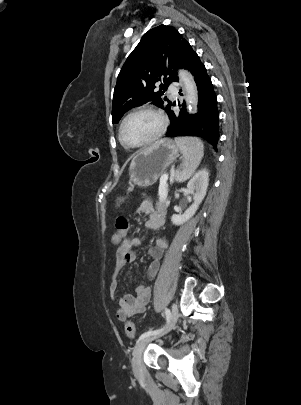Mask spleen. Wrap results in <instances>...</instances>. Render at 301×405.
<instances>
[{
    "mask_svg": "<svg viewBox=\"0 0 301 405\" xmlns=\"http://www.w3.org/2000/svg\"><path fill=\"white\" fill-rule=\"evenodd\" d=\"M175 142L184 156L183 168L176 174V180L184 182L195 173L199 166L204 155V145L196 137H177Z\"/></svg>",
    "mask_w": 301,
    "mask_h": 405,
    "instance_id": "1",
    "label": "spleen"
}]
</instances>
